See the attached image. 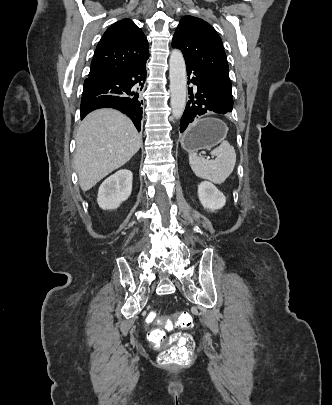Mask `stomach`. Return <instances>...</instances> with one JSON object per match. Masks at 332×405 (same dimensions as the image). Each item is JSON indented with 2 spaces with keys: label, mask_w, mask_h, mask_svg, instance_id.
I'll list each match as a JSON object with an SVG mask.
<instances>
[{
  "label": "stomach",
  "mask_w": 332,
  "mask_h": 405,
  "mask_svg": "<svg viewBox=\"0 0 332 405\" xmlns=\"http://www.w3.org/2000/svg\"><path fill=\"white\" fill-rule=\"evenodd\" d=\"M227 132V125L217 118L197 119L183 134L181 146L190 153L200 149H211L225 140Z\"/></svg>",
  "instance_id": "1"
}]
</instances>
